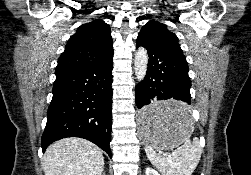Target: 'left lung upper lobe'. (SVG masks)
I'll return each mask as SVG.
<instances>
[{"instance_id":"5c2ea615","label":"left lung upper lobe","mask_w":251,"mask_h":175,"mask_svg":"<svg viewBox=\"0 0 251 175\" xmlns=\"http://www.w3.org/2000/svg\"><path fill=\"white\" fill-rule=\"evenodd\" d=\"M138 35H145L152 40L163 45L170 46L183 54L178 43L177 36L168 30L167 25L155 20L148 21L141 29Z\"/></svg>"}]
</instances>
